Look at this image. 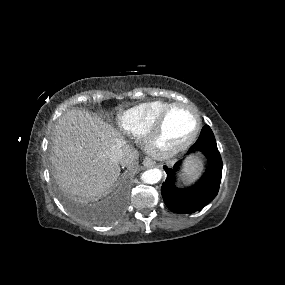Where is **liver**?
Wrapping results in <instances>:
<instances>
[{
  "mask_svg": "<svg viewBox=\"0 0 285 285\" xmlns=\"http://www.w3.org/2000/svg\"><path fill=\"white\" fill-rule=\"evenodd\" d=\"M52 164L55 177L66 192L85 201L109 193L120 175V163L110 154L120 147L122 166L132 167L136 152L110 124L88 112L70 110L53 130Z\"/></svg>",
  "mask_w": 285,
  "mask_h": 285,
  "instance_id": "obj_1",
  "label": "liver"
}]
</instances>
